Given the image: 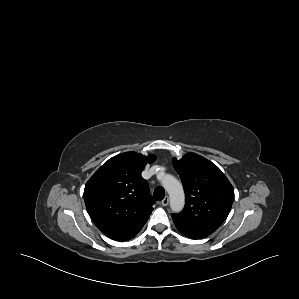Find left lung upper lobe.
<instances>
[{
	"label": "left lung upper lobe",
	"mask_w": 299,
	"mask_h": 299,
	"mask_svg": "<svg viewBox=\"0 0 299 299\" xmlns=\"http://www.w3.org/2000/svg\"><path fill=\"white\" fill-rule=\"evenodd\" d=\"M185 190V207L173 214L188 233L210 235L227 218L234 189L222 171L206 158L188 153L173 160Z\"/></svg>",
	"instance_id": "5c2ea615"
}]
</instances>
